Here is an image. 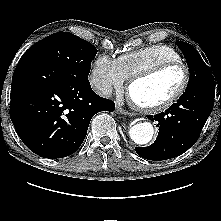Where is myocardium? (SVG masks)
Wrapping results in <instances>:
<instances>
[{
    "label": "myocardium",
    "instance_id": "myocardium-1",
    "mask_svg": "<svg viewBox=\"0 0 221 221\" xmlns=\"http://www.w3.org/2000/svg\"><path fill=\"white\" fill-rule=\"evenodd\" d=\"M172 67L182 68L183 72H184V77H183V82H182L181 86L171 97H169L166 101H164L162 103H159L156 105H151V106L142 105L133 99V97L131 95V90H132V87L137 82L151 78L154 75H156L166 69L172 68ZM189 83H190V70L185 63H183L182 61H165V62L156 64L154 66H151L148 69L141 71V72L135 74L134 76H132L130 78L128 86H127V92H128V96L130 98L131 103L133 104V106L137 110H140V111L146 112V113H160V112L168 110L175 103L178 102V100L186 92V90L189 86Z\"/></svg>",
    "mask_w": 221,
    "mask_h": 221
}]
</instances>
